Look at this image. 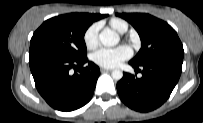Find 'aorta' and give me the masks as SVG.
I'll list each match as a JSON object with an SVG mask.
<instances>
[{"instance_id":"1","label":"aorta","mask_w":203,"mask_h":123,"mask_svg":"<svg viewBox=\"0 0 203 123\" xmlns=\"http://www.w3.org/2000/svg\"><path fill=\"white\" fill-rule=\"evenodd\" d=\"M99 40L104 46L112 47L119 43L120 38L116 32L110 29H104L99 34ZM122 77H123V72L121 70L115 69L112 71V78L114 80H120L122 79Z\"/></svg>"}]
</instances>
